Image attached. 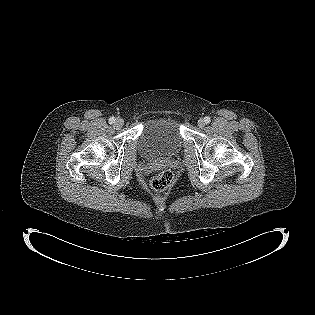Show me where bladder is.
<instances>
[{
  "label": "bladder",
  "mask_w": 315,
  "mask_h": 315,
  "mask_svg": "<svg viewBox=\"0 0 315 315\" xmlns=\"http://www.w3.org/2000/svg\"><path fill=\"white\" fill-rule=\"evenodd\" d=\"M182 145L181 122L173 115L150 120L139 137V150L149 160H168Z\"/></svg>",
  "instance_id": "31cf9c89"
}]
</instances>
